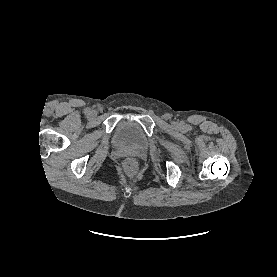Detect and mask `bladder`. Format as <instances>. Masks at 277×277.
Masks as SVG:
<instances>
[{
	"mask_svg": "<svg viewBox=\"0 0 277 277\" xmlns=\"http://www.w3.org/2000/svg\"><path fill=\"white\" fill-rule=\"evenodd\" d=\"M115 142L123 147L143 149L148 144V137L142 127L135 121H121L114 133Z\"/></svg>",
	"mask_w": 277,
	"mask_h": 277,
	"instance_id": "bladder-1",
	"label": "bladder"
}]
</instances>
